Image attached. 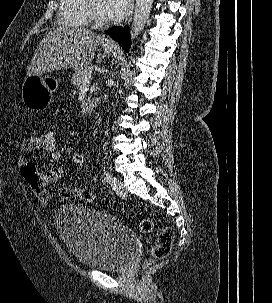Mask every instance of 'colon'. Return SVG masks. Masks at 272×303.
<instances>
[{
  "instance_id": "colon-1",
  "label": "colon",
  "mask_w": 272,
  "mask_h": 303,
  "mask_svg": "<svg viewBox=\"0 0 272 303\" xmlns=\"http://www.w3.org/2000/svg\"><path fill=\"white\" fill-rule=\"evenodd\" d=\"M36 137L44 148H57V135L53 129L44 128ZM70 164L72 170L82 169L85 166L84 153L81 151L72 153ZM21 173L37 196L42 200H47L46 177L42 173H37L32 164L23 165ZM59 195L63 199L79 198L87 203H92L95 200L94 194L86 188L60 187ZM140 228L144 233L149 234L154 231V223L150 219H144L140 223ZM174 238L175 234L171 227L166 226L157 231V240L151 249V258L146 262V267L151 265L153 261L164 259L169 255Z\"/></svg>"
}]
</instances>
